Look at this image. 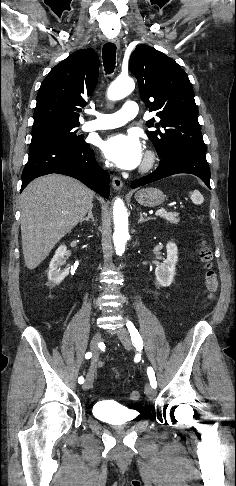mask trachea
Returning <instances> with one entry per match:
<instances>
[{
  "mask_svg": "<svg viewBox=\"0 0 236 486\" xmlns=\"http://www.w3.org/2000/svg\"><path fill=\"white\" fill-rule=\"evenodd\" d=\"M102 59L107 74H111L115 69L116 64V45L114 43H106L102 49Z\"/></svg>",
  "mask_w": 236,
  "mask_h": 486,
  "instance_id": "3493384b",
  "label": "trachea"
}]
</instances>
